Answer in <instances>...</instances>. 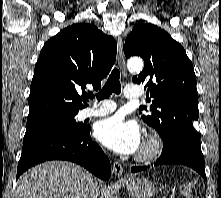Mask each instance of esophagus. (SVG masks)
<instances>
[{"instance_id":"1","label":"esophagus","mask_w":221,"mask_h":198,"mask_svg":"<svg viewBox=\"0 0 221 198\" xmlns=\"http://www.w3.org/2000/svg\"><path fill=\"white\" fill-rule=\"evenodd\" d=\"M117 46H118V51H117L118 62L122 69V74L125 77L127 75V70H126V63H125V58H124V53H123V42L120 36L117 38ZM112 171L115 176L120 177L123 173L122 164L115 161L113 163Z\"/></svg>"}]
</instances>
